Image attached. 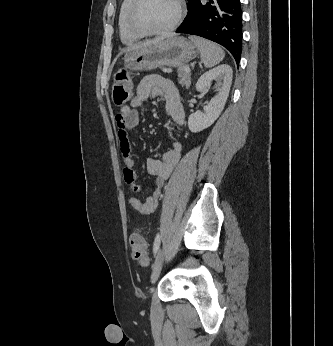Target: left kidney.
Listing matches in <instances>:
<instances>
[{
  "mask_svg": "<svg viewBox=\"0 0 333 346\" xmlns=\"http://www.w3.org/2000/svg\"><path fill=\"white\" fill-rule=\"evenodd\" d=\"M232 74V68L227 64H222L207 71L198 79L196 83L197 91L205 90L213 81H216L218 93L203 108V112L197 111L189 116L188 127L191 132L197 133L210 127L220 116L229 95Z\"/></svg>",
  "mask_w": 333,
  "mask_h": 346,
  "instance_id": "obj_1",
  "label": "left kidney"
}]
</instances>
